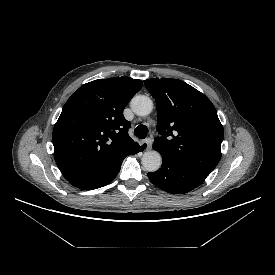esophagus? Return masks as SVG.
<instances>
[{"label":"esophagus","instance_id":"34e87169","mask_svg":"<svg viewBox=\"0 0 275 275\" xmlns=\"http://www.w3.org/2000/svg\"><path fill=\"white\" fill-rule=\"evenodd\" d=\"M144 143L146 144V149L147 150H151V148H152V140H151V138L145 139Z\"/></svg>","mask_w":275,"mask_h":275}]
</instances>
